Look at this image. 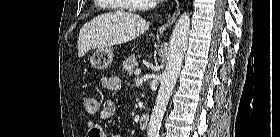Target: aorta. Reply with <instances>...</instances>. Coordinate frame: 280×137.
I'll use <instances>...</instances> for the list:
<instances>
[{"instance_id":"1","label":"aorta","mask_w":280,"mask_h":137,"mask_svg":"<svg viewBox=\"0 0 280 137\" xmlns=\"http://www.w3.org/2000/svg\"><path fill=\"white\" fill-rule=\"evenodd\" d=\"M190 33V16L184 12L173 29L167 51V65L147 128V137H159L161 122L180 73Z\"/></svg>"}]
</instances>
